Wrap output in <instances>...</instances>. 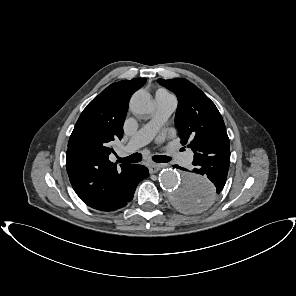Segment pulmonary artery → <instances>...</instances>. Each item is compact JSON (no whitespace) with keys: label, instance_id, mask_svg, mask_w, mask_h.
Here are the masks:
<instances>
[{"label":"pulmonary artery","instance_id":"obj_1","mask_svg":"<svg viewBox=\"0 0 296 296\" xmlns=\"http://www.w3.org/2000/svg\"><path fill=\"white\" fill-rule=\"evenodd\" d=\"M155 113L152 119L143 125L129 140L125 150L134 151L147 144L158 132L166 119L173 113L177 106V99L173 94L166 91H157L155 95ZM179 161L184 166L191 165L193 153L187 151L182 154Z\"/></svg>","mask_w":296,"mask_h":296}]
</instances>
